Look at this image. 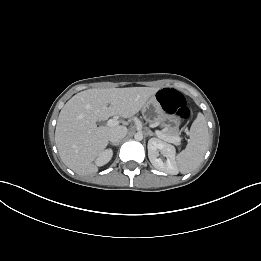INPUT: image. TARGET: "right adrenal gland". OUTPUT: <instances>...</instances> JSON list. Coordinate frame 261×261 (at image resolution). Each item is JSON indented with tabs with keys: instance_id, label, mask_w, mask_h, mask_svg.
I'll return each mask as SVG.
<instances>
[{
	"instance_id": "obj_1",
	"label": "right adrenal gland",
	"mask_w": 261,
	"mask_h": 261,
	"mask_svg": "<svg viewBox=\"0 0 261 261\" xmlns=\"http://www.w3.org/2000/svg\"><path fill=\"white\" fill-rule=\"evenodd\" d=\"M111 145H113V146H118V145H119V143H116V144L112 143Z\"/></svg>"
}]
</instances>
